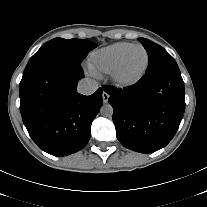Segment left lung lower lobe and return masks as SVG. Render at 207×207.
Masks as SVG:
<instances>
[{"label": "left lung lower lobe", "instance_id": "obj_1", "mask_svg": "<svg viewBox=\"0 0 207 207\" xmlns=\"http://www.w3.org/2000/svg\"><path fill=\"white\" fill-rule=\"evenodd\" d=\"M113 107L116 136L128 149L152 153L174 137L185 110V90L177 63L146 73L136 84L104 86Z\"/></svg>", "mask_w": 207, "mask_h": 207}]
</instances>
